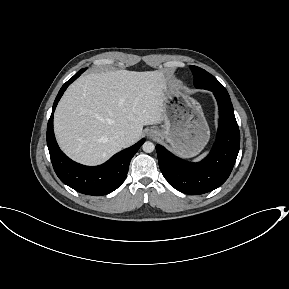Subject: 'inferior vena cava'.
Segmentation results:
<instances>
[{
    "instance_id": "1",
    "label": "inferior vena cava",
    "mask_w": 289,
    "mask_h": 289,
    "mask_svg": "<svg viewBox=\"0 0 289 289\" xmlns=\"http://www.w3.org/2000/svg\"><path fill=\"white\" fill-rule=\"evenodd\" d=\"M115 138L117 139V141L120 144H124V142L126 141V135L124 133H121V132L116 134Z\"/></svg>"
}]
</instances>
